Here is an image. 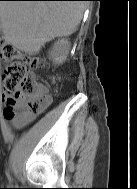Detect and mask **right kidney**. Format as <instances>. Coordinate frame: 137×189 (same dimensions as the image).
<instances>
[{"mask_svg":"<svg viewBox=\"0 0 137 189\" xmlns=\"http://www.w3.org/2000/svg\"><path fill=\"white\" fill-rule=\"evenodd\" d=\"M71 43L67 38H60L48 51V57L55 66L62 65L69 55Z\"/></svg>","mask_w":137,"mask_h":189,"instance_id":"right-kidney-1","label":"right kidney"}]
</instances>
